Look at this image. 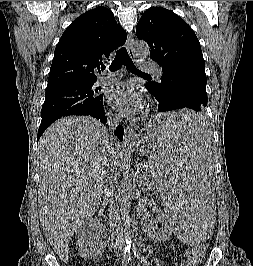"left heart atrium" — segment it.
Wrapping results in <instances>:
<instances>
[{
	"label": "left heart atrium",
	"instance_id": "39dd6f15",
	"mask_svg": "<svg viewBox=\"0 0 253 266\" xmlns=\"http://www.w3.org/2000/svg\"><path fill=\"white\" fill-rule=\"evenodd\" d=\"M108 99L119 113L127 117L142 113L146 105L144 93L132 82L116 84L111 88Z\"/></svg>",
	"mask_w": 253,
	"mask_h": 266
}]
</instances>
